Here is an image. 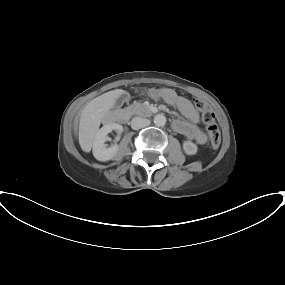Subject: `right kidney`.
<instances>
[{
	"label": "right kidney",
	"instance_id": "ca27d5eb",
	"mask_svg": "<svg viewBox=\"0 0 285 285\" xmlns=\"http://www.w3.org/2000/svg\"><path fill=\"white\" fill-rule=\"evenodd\" d=\"M115 130L118 134H121L123 131L122 125L118 123H108L105 124L98 132L96 133L93 140V155L98 161H108L113 159L119 151L117 144L107 148L104 144L107 140V134Z\"/></svg>",
	"mask_w": 285,
	"mask_h": 285
}]
</instances>
